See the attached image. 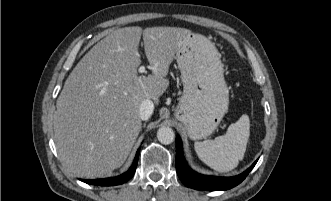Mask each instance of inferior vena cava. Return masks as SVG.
<instances>
[{"instance_id": "602c4592", "label": "inferior vena cava", "mask_w": 331, "mask_h": 201, "mask_svg": "<svg viewBox=\"0 0 331 201\" xmlns=\"http://www.w3.org/2000/svg\"><path fill=\"white\" fill-rule=\"evenodd\" d=\"M153 110H154V103L149 99L144 100L141 103L139 109V115L141 120H148L152 115Z\"/></svg>"}]
</instances>
